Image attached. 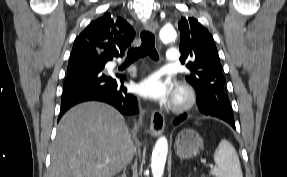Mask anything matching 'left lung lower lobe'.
Segmentation results:
<instances>
[{"label": "left lung lower lobe", "mask_w": 287, "mask_h": 177, "mask_svg": "<svg viewBox=\"0 0 287 177\" xmlns=\"http://www.w3.org/2000/svg\"><path fill=\"white\" fill-rule=\"evenodd\" d=\"M229 99L227 96L221 93H214V98L211 99L209 105L204 106L198 104L199 110L206 115H211L214 117H218L226 122H228L233 128H235V122L233 118V114L227 108ZM187 117V114L180 115L176 120L175 123L178 124L183 121Z\"/></svg>", "instance_id": "0a47b994"}]
</instances>
